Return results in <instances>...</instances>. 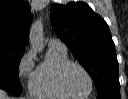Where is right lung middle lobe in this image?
<instances>
[{
  "mask_svg": "<svg viewBox=\"0 0 128 99\" xmlns=\"http://www.w3.org/2000/svg\"><path fill=\"white\" fill-rule=\"evenodd\" d=\"M23 53L22 51L0 50V88L13 94H20L23 91L18 76Z\"/></svg>",
  "mask_w": 128,
  "mask_h": 99,
  "instance_id": "right-lung-middle-lobe-1",
  "label": "right lung middle lobe"
}]
</instances>
